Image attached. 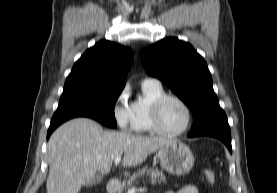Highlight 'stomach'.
Wrapping results in <instances>:
<instances>
[{"label": "stomach", "instance_id": "1", "mask_svg": "<svg viewBox=\"0 0 277 193\" xmlns=\"http://www.w3.org/2000/svg\"><path fill=\"white\" fill-rule=\"evenodd\" d=\"M158 156L163 169L173 175L188 173L194 165V156L188 146L178 140L160 148Z\"/></svg>", "mask_w": 277, "mask_h": 193}]
</instances>
